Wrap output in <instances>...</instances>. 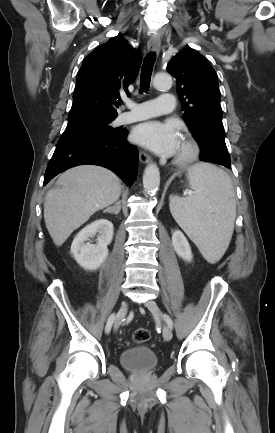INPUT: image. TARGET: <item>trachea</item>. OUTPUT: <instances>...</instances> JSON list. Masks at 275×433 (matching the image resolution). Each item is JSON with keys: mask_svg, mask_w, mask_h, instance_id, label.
Wrapping results in <instances>:
<instances>
[{"mask_svg": "<svg viewBox=\"0 0 275 433\" xmlns=\"http://www.w3.org/2000/svg\"><path fill=\"white\" fill-rule=\"evenodd\" d=\"M155 58L156 56L154 53H149L143 61L140 77V88L142 92L149 89ZM118 104L121 105L122 102L119 101Z\"/></svg>", "mask_w": 275, "mask_h": 433, "instance_id": "1", "label": "trachea"}]
</instances>
